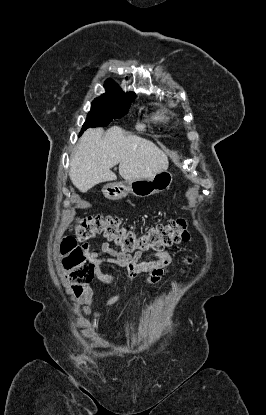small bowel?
<instances>
[{"instance_id": "c3829d8e", "label": "small bowel", "mask_w": 266, "mask_h": 415, "mask_svg": "<svg viewBox=\"0 0 266 415\" xmlns=\"http://www.w3.org/2000/svg\"><path fill=\"white\" fill-rule=\"evenodd\" d=\"M142 255V251H137L134 255L119 252L107 242H102L99 245V251L92 258L95 264V275L107 283H114L116 281L114 276L104 274L99 270L98 266L106 263L118 267H125L127 269L126 283L133 281L143 274L147 276L148 283H158L166 275L165 268L172 261L170 253L162 249L157 250L146 258H143ZM191 262V258L185 260L186 264H190ZM77 297L86 314L100 318L115 307L121 300L122 294L113 296L103 303H98L94 301L92 287L88 283L83 285L81 290L77 292Z\"/></svg>"}]
</instances>
